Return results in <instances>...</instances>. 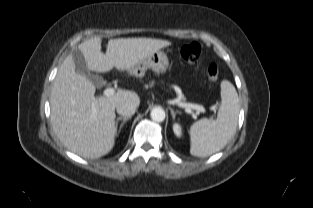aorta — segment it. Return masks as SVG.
Listing matches in <instances>:
<instances>
[{"mask_svg":"<svg viewBox=\"0 0 313 208\" xmlns=\"http://www.w3.org/2000/svg\"><path fill=\"white\" fill-rule=\"evenodd\" d=\"M150 117L155 122H162L165 119V111L161 107H155L151 110Z\"/></svg>","mask_w":313,"mask_h":208,"instance_id":"1","label":"aorta"}]
</instances>
